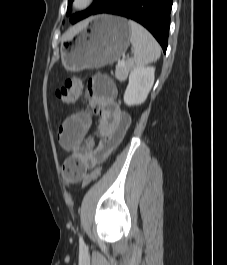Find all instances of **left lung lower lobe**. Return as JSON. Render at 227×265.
I'll use <instances>...</instances> for the list:
<instances>
[{"mask_svg": "<svg viewBox=\"0 0 227 265\" xmlns=\"http://www.w3.org/2000/svg\"><path fill=\"white\" fill-rule=\"evenodd\" d=\"M173 0H107L92 14H114L143 25L166 52Z\"/></svg>", "mask_w": 227, "mask_h": 265, "instance_id": "obj_1", "label": "left lung lower lobe"}]
</instances>
